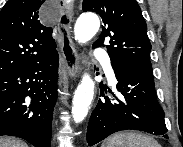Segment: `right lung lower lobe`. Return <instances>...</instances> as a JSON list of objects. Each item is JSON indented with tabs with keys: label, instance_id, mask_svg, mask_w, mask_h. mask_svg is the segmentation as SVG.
<instances>
[{
	"label": "right lung lower lobe",
	"instance_id": "1",
	"mask_svg": "<svg viewBox=\"0 0 183 147\" xmlns=\"http://www.w3.org/2000/svg\"><path fill=\"white\" fill-rule=\"evenodd\" d=\"M59 56L0 76V136H17L35 147L51 146Z\"/></svg>",
	"mask_w": 183,
	"mask_h": 147
}]
</instances>
